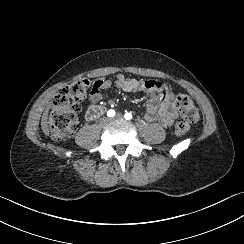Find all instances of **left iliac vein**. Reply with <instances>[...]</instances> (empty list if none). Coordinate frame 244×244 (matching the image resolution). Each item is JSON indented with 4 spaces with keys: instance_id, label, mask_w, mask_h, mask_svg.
I'll return each mask as SVG.
<instances>
[{
    "instance_id": "left-iliac-vein-1",
    "label": "left iliac vein",
    "mask_w": 244,
    "mask_h": 244,
    "mask_svg": "<svg viewBox=\"0 0 244 244\" xmlns=\"http://www.w3.org/2000/svg\"><path fill=\"white\" fill-rule=\"evenodd\" d=\"M122 119H123L122 114H117L114 118L111 119V121H114V120H122Z\"/></svg>"
}]
</instances>
